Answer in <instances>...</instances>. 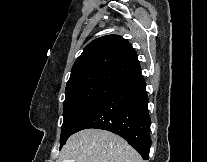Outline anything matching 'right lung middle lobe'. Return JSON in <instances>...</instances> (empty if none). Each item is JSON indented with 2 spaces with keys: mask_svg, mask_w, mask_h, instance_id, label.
I'll return each mask as SVG.
<instances>
[{
  "mask_svg": "<svg viewBox=\"0 0 207 162\" xmlns=\"http://www.w3.org/2000/svg\"><path fill=\"white\" fill-rule=\"evenodd\" d=\"M115 87L110 85H90L66 91L64 101V121L61 130L60 148L74 133L80 122L93 110Z\"/></svg>",
  "mask_w": 207,
  "mask_h": 162,
  "instance_id": "right-lung-middle-lobe-1",
  "label": "right lung middle lobe"
}]
</instances>
